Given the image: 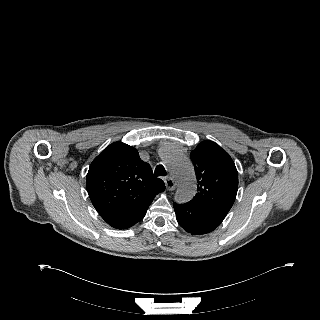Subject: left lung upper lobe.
<instances>
[{
    "label": "left lung upper lobe",
    "mask_w": 320,
    "mask_h": 320,
    "mask_svg": "<svg viewBox=\"0 0 320 320\" xmlns=\"http://www.w3.org/2000/svg\"><path fill=\"white\" fill-rule=\"evenodd\" d=\"M190 157L198 182L191 202L228 213L238 190V173L231 157L210 140L199 143Z\"/></svg>",
    "instance_id": "5c2ea615"
}]
</instances>
